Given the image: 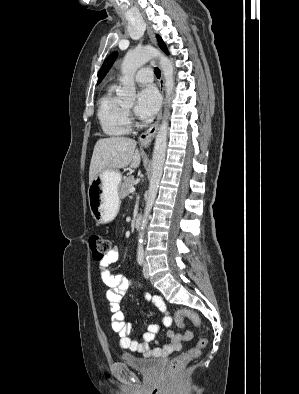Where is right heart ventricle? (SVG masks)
I'll use <instances>...</instances> for the list:
<instances>
[{"mask_svg":"<svg viewBox=\"0 0 299 394\" xmlns=\"http://www.w3.org/2000/svg\"><path fill=\"white\" fill-rule=\"evenodd\" d=\"M98 119L105 134L112 137L126 135L130 131L128 112L111 85L99 100Z\"/></svg>","mask_w":299,"mask_h":394,"instance_id":"1","label":"right heart ventricle"}]
</instances>
